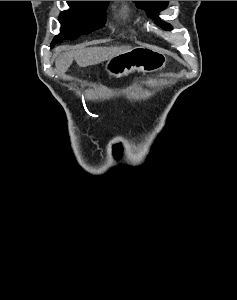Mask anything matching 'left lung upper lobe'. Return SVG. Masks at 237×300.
Here are the masks:
<instances>
[{
    "mask_svg": "<svg viewBox=\"0 0 237 300\" xmlns=\"http://www.w3.org/2000/svg\"><path fill=\"white\" fill-rule=\"evenodd\" d=\"M139 8H145L148 15L152 18H158L157 14L159 11L164 10L168 6V1H134ZM158 25L161 27L171 30L170 24L158 21Z\"/></svg>",
    "mask_w": 237,
    "mask_h": 300,
    "instance_id": "obj_1",
    "label": "left lung upper lobe"
}]
</instances>
